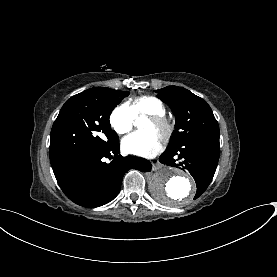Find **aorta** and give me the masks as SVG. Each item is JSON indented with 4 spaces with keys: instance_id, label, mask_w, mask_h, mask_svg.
Returning a JSON list of instances; mask_svg holds the SVG:
<instances>
[{
    "instance_id": "aorta-1",
    "label": "aorta",
    "mask_w": 277,
    "mask_h": 277,
    "mask_svg": "<svg viewBox=\"0 0 277 277\" xmlns=\"http://www.w3.org/2000/svg\"><path fill=\"white\" fill-rule=\"evenodd\" d=\"M150 189L153 196L165 205H184L192 199L196 186L184 171L163 168L151 179Z\"/></svg>"
}]
</instances>
